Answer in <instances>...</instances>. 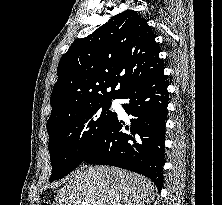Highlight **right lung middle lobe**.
<instances>
[{
  "mask_svg": "<svg viewBox=\"0 0 222 205\" xmlns=\"http://www.w3.org/2000/svg\"><path fill=\"white\" fill-rule=\"evenodd\" d=\"M110 106L111 101L99 102L47 125L52 164L50 182L64 177L83 161L94 140L116 116Z\"/></svg>",
  "mask_w": 222,
  "mask_h": 205,
  "instance_id": "obj_1",
  "label": "right lung middle lobe"
}]
</instances>
